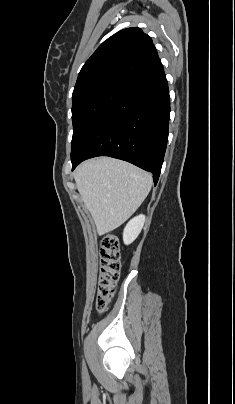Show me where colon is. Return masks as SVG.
Here are the masks:
<instances>
[{
    "label": "colon",
    "instance_id": "1",
    "mask_svg": "<svg viewBox=\"0 0 235 404\" xmlns=\"http://www.w3.org/2000/svg\"><path fill=\"white\" fill-rule=\"evenodd\" d=\"M120 267L118 240L114 235H105L101 241L100 274L96 298V309L99 313L106 310L114 295Z\"/></svg>",
    "mask_w": 235,
    "mask_h": 404
}]
</instances>
